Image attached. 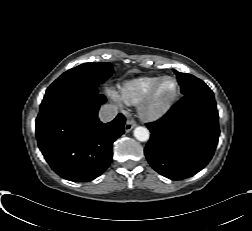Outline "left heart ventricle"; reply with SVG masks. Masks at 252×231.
Returning <instances> with one entry per match:
<instances>
[{
    "label": "left heart ventricle",
    "mask_w": 252,
    "mask_h": 231,
    "mask_svg": "<svg viewBox=\"0 0 252 231\" xmlns=\"http://www.w3.org/2000/svg\"><path fill=\"white\" fill-rule=\"evenodd\" d=\"M173 91H174V83L171 80L164 81L157 93L155 99L156 105L164 104L171 97Z\"/></svg>",
    "instance_id": "1"
}]
</instances>
